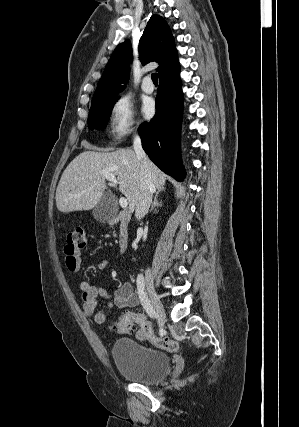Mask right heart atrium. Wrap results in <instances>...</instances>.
I'll return each mask as SVG.
<instances>
[{
  "label": "right heart atrium",
  "instance_id": "obj_1",
  "mask_svg": "<svg viewBox=\"0 0 299 427\" xmlns=\"http://www.w3.org/2000/svg\"><path fill=\"white\" fill-rule=\"evenodd\" d=\"M108 129L112 140L119 141L135 130V108L127 93L117 95L108 110Z\"/></svg>",
  "mask_w": 299,
  "mask_h": 427
}]
</instances>
